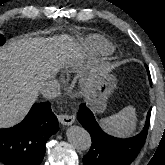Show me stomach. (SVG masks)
<instances>
[{
  "label": "stomach",
  "instance_id": "1",
  "mask_svg": "<svg viewBox=\"0 0 165 165\" xmlns=\"http://www.w3.org/2000/svg\"><path fill=\"white\" fill-rule=\"evenodd\" d=\"M117 80L112 74H103L93 80L86 97L95 113H103L107 106V101L116 89Z\"/></svg>",
  "mask_w": 165,
  "mask_h": 165
}]
</instances>
